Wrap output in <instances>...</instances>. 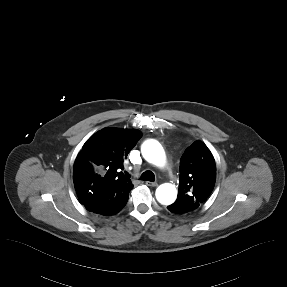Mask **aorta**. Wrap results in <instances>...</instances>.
Instances as JSON below:
<instances>
[{"label": "aorta", "instance_id": "1", "mask_svg": "<svg viewBox=\"0 0 287 287\" xmlns=\"http://www.w3.org/2000/svg\"><path fill=\"white\" fill-rule=\"evenodd\" d=\"M141 152L146 161L158 167L166 163V154L162 145L154 139L146 140L141 147ZM157 201L162 205H170L177 198L176 187L170 183L161 184L155 192Z\"/></svg>", "mask_w": 287, "mask_h": 287}]
</instances>
